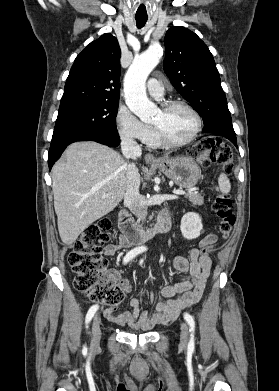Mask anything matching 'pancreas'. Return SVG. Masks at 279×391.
Listing matches in <instances>:
<instances>
[{
	"mask_svg": "<svg viewBox=\"0 0 279 391\" xmlns=\"http://www.w3.org/2000/svg\"><path fill=\"white\" fill-rule=\"evenodd\" d=\"M186 198L193 204V205H202L204 202V198L201 194H198L196 192H189L186 194Z\"/></svg>",
	"mask_w": 279,
	"mask_h": 391,
	"instance_id": "pancreas-1",
	"label": "pancreas"
}]
</instances>
